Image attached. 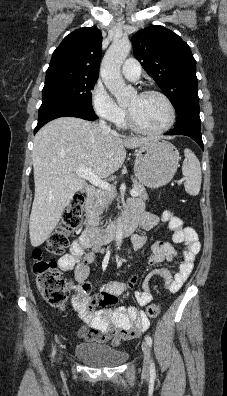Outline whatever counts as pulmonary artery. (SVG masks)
<instances>
[{
	"instance_id": "e3ab8cb5",
	"label": "pulmonary artery",
	"mask_w": 227,
	"mask_h": 396,
	"mask_svg": "<svg viewBox=\"0 0 227 396\" xmlns=\"http://www.w3.org/2000/svg\"><path fill=\"white\" fill-rule=\"evenodd\" d=\"M122 74L129 80H137L141 74L140 63L134 59H127L122 66Z\"/></svg>"
}]
</instances>
